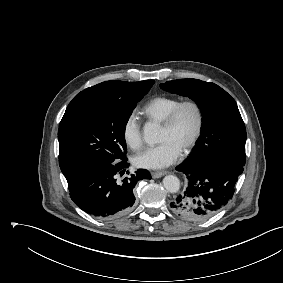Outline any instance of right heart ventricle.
<instances>
[{"instance_id": "right-heart-ventricle-1", "label": "right heart ventricle", "mask_w": 283, "mask_h": 283, "mask_svg": "<svg viewBox=\"0 0 283 283\" xmlns=\"http://www.w3.org/2000/svg\"><path fill=\"white\" fill-rule=\"evenodd\" d=\"M179 102L180 100L175 97L157 96L141 108V114L151 122L162 124Z\"/></svg>"}]
</instances>
